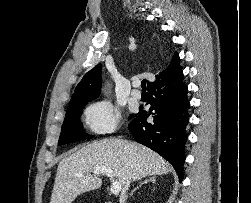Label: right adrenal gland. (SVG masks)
I'll list each match as a JSON object with an SVG mask.
<instances>
[{
  "mask_svg": "<svg viewBox=\"0 0 251 203\" xmlns=\"http://www.w3.org/2000/svg\"><path fill=\"white\" fill-rule=\"evenodd\" d=\"M148 182H152V183H155L156 182V177L155 176H152V177H149L148 179H146L145 181L141 182L139 184V186H137L134 190H132L130 196H133L134 192L139 189L142 185L148 183Z\"/></svg>",
  "mask_w": 251,
  "mask_h": 203,
  "instance_id": "right-adrenal-gland-1",
  "label": "right adrenal gland"
}]
</instances>
